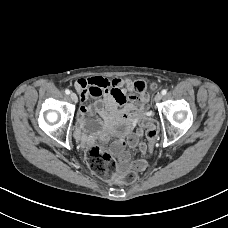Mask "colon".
<instances>
[{"mask_svg":"<svg viewBox=\"0 0 228 228\" xmlns=\"http://www.w3.org/2000/svg\"><path fill=\"white\" fill-rule=\"evenodd\" d=\"M153 84H147L144 81L135 82V90L138 93H146ZM140 124L147 129L146 135L149 142V149L154 145L158 137V126L155 120L150 117L141 119ZM87 163L90 170L98 177L119 184H133L137 180V174L134 171H127L119 174L116 161L109 149L103 146H92L87 153Z\"/></svg>","mask_w":228,"mask_h":228,"instance_id":"5ec220e1","label":"colon"}]
</instances>
